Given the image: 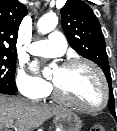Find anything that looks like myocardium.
Returning <instances> with one entry per match:
<instances>
[{"label":"myocardium","instance_id":"myocardium-1","mask_svg":"<svg viewBox=\"0 0 117 131\" xmlns=\"http://www.w3.org/2000/svg\"><path fill=\"white\" fill-rule=\"evenodd\" d=\"M78 65H86V66L90 67L98 76L101 86H102V91H103L102 102L96 107L85 106V105L79 103L78 101L67 96L63 92V90L53 81L54 95L59 101L65 103L67 105H70L72 107H75L79 110L89 112V113L99 112L106 107L108 100H109V87H108L106 78H105L102 70L95 63H93L92 61L86 60V59H69V60L65 61L61 65V67L65 68V69H69V68H72V67H75Z\"/></svg>","mask_w":117,"mask_h":131}]
</instances>
